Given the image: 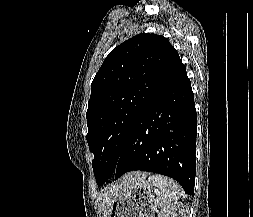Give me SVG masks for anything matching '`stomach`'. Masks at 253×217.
<instances>
[{
	"instance_id": "obj_1",
	"label": "stomach",
	"mask_w": 253,
	"mask_h": 217,
	"mask_svg": "<svg viewBox=\"0 0 253 217\" xmlns=\"http://www.w3.org/2000/svg\"><path fill=\"white\" fill-rule=\"evenodd\" d=\"M155 195L153 185L142 180L113 201L108 217H153Z\"/></svg>"
}]
</instances>
